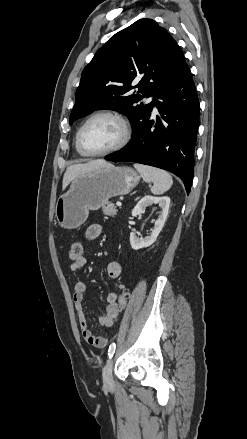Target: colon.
Here are the masks:
<instances>
[{
	"mask_svg": "<svg viewBox=\"0 0 247 439\" xmlns=\"http://www.w3.org/2000/svg\"><path fill=\"white\" fill-rule=\"evenodd\" d=\"M82 254H83L82 243L81 242L72 243L70 250H69L70 258L75 261L76 259L81 257ZM128 298H129L128 290L124 286H121L120 294H119L118 301H117L118 313L125 308V306L127 305Z\"/></svg>",
	"mask_w": 247,
	"mask_h": 439,
	"instance_id": "1",
	"label": "colon"
}]
</instances>
